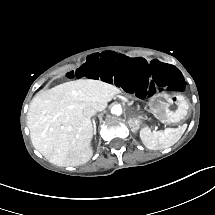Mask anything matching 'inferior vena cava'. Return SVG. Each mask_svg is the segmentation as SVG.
<instances>
[{
    "instance_id": "obj_1",
    "label": "inferior vena cava",
    "mask_w": 215,
    "mask_h": 215,
    "mask_svg": "<svg viewBox=\"0 0 215 215\" xmlns=\"http://www.w3.org/2000/svg\"><path fill=\"white\" fill-rule=\"evenodd\" d=\"M83 114L86 117H92V116H94L96 114V110L92 106H87V107L84 108Z\"/></svg>"
}]
</instances>
